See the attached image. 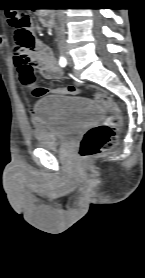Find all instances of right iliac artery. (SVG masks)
Masks as SVG:
<instances>
[{
	"label": "right iliac artery",
	"instance_id": "obj_1",
	"mask_svg": "<svg viewBox=\"0 0 145 278\" xmlns=\"http://www.w3.org/2000/svg\"><path fill=\"white\" fill-rule=\"evenodd\" d=\"M59 64H60V66L65 67L67 64L66 59L64 57H61L59 60Z\"/></svg>",
	"mask_w": 145,
	"mask_h": 278
}]
</instances>
